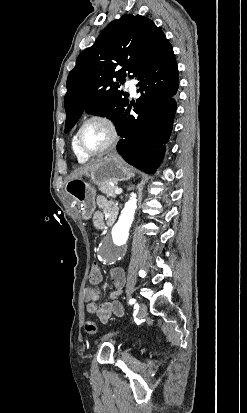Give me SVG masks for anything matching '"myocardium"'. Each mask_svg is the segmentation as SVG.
I'll list each match as a JSON object with an SVG mask.
<instances>
[{
  "mask_svg": "<svg viewBox=\"0 0 247 413\" xmlns=\"http://www.w3.org/2000/svg\"><path fill=\"white\" fill-rule=\"evenodd\" d=\"M92 123H98V124H102L107 126L110 131H111V137L109 139V141L100 149L96 150V151H89L87 149H85L81 142H80V135L81 132L83 131V129L85 127H87L88 125L92 124ZM120 138V131L118 128V125L116 124V122L111 119L110 117L106 116V115H93L90 118L86 119L83 124L78 128L76 134H75V144L76 147L78 149V151L85 157L87 158H91V157H95L98 155L103 154L104 152H106L107 150L111 149L112 147H114L117 142L119 141Z\"/></svg>",
  "mask_w": 247,
  "mask_h": 413,
  "instance_id": "f54148a6",
  "label": "myocardium"
}]
</instances>
